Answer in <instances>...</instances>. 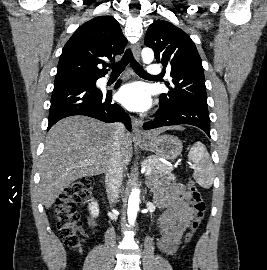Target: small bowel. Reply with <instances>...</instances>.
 <instances>
[{
    "label": "small bowel",
    "mask_w": 267,
    "mask_h": 270,
    "mask_svg": "<svg viewBox=\"0 0 267 270\" xmlns=\"http://www.w3.org/2000/svg\"><path fill=\"white\" fill-rule=\"evenodd\" d=\"M154 204L164 209L159 218L160 239L157 247L160 252L171 255L180 246L183 235L194 216L191 194L181 183L153 178L150 181ZM94 229L95 220H89Z\"/></svg>",
    "instance_id": "small-bowel-1"
}]
</instances>
